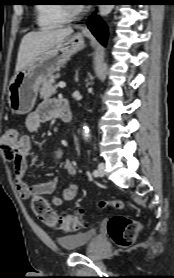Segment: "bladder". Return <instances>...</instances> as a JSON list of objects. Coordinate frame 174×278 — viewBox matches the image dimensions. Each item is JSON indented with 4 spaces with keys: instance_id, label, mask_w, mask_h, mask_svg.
Masks as SVG:
<instances>
[{
    "instance_id": "obj_1",
    "label": "bladder",
    "mask_w": 174,
    "mask_h": 278,
    "mask_svg": "<svg viewBox=\"0 0 174 278\" xmlns=\"http://www.w3.org/2000/svg\"><path fill=\"white\" fill-rule=\"evenodd\" d=\"M98 233L91 229L84 232H78L57 239L58 245L67 251L77 250L86 247L96 241Z\"/></svg>"
}]
</instances>
